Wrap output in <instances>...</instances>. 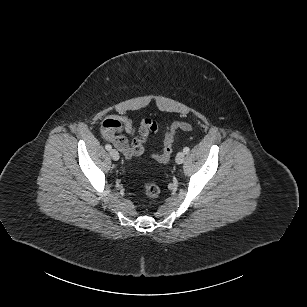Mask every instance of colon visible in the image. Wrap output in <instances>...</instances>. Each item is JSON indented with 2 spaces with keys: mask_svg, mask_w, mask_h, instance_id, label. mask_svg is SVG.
<instances>
[{
  "mask_svg": "<svg viewBox=\"0 0 307 307\" xmlns=\"http://www.w3.org/2000/svg\"><path fill=\"white\" fill-rule=\"evenodd\" d=\"M177 130L192 131L193 126L182 121L173 122L166 131L163 150L160 154H153L152 157L154 160L159 163H167L170 160L173 150L174 136ZM143 188L146 196L149 198H156L160 193L159 187L153 183L144 184Z\"/></svg>",
  "mask_w": 307,
  "mask_h": 307,
  "instance_id": "1",
  "label": "colon"
}]
</instances>
